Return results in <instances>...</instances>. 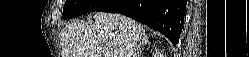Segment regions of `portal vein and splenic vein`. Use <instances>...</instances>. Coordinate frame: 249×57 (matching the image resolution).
<instances>
[{"label":"portal vein and splenic vein","instance_id":"obj_1","mask_svg":"<svg viewBox=\"0 0 249 57\" xmlns=\"http://www.w3.org/2000/svg\"><path fill=\"white\" fill-rule=\"evenodd\" d=\"M104 57H109V55L106 54V55H104Z\"/></svg>","mask_w":249,"mask_h":57}]
</instances>
